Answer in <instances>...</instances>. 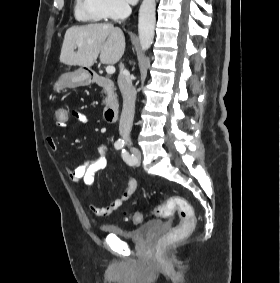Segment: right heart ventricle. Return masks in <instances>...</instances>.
I'll list each match as a JSON object with an SVG mask.
<instances>
[{"instance_id":"obj_1","label":"right heart ventricle","mask_w":280,"mask_h":283,"mask_svg":"<svg viewBox=\"0 0 280 283\" xmlns=\"http://www.w3.org/2000/svg\"><path fill=\"white\" fill-rule=\"evenodd\" d=\"M74 13L80 21H97L99 18L94 14L90 6V0H76Z\"/></svg>"}]
</instances>
